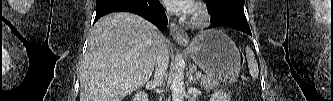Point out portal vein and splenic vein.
<instances>
[{
	"mask_svg": "<svg viewBox=\"0 0 333 101\" xmlns=\"http://www.w3.org/2000/svg\"><path fill=\"white\" fill-rule=\"evenodd\" d=\"M199 78H201V73H199V74L197 75V79H199Z\"/></svg>",
	"mask_w": 333,
	"mask_h": 101,
	"instance_id": "obj_1",
	"label": "portal vein and splenic vein"
}]
</instances>
